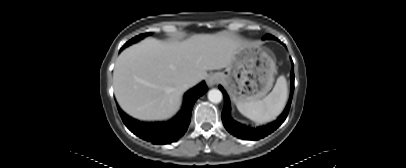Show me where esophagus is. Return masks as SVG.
I'll return each instance as SVG.
<instances>
[{"label":"esophagus","instance_id":"obj_1","mask_svg":"<svg viewBox=\"0 0 406 168\" xmlns=\"http://www.w3.org/2000/svg\"><path fill=\"white\" fill-rule=\"evenodd\" d=\"M218 82H219V77L216 74H211L207 78V85L209 87L215 86L216 84H218Z\"/></svg>","mask_w":406,"mask_h":168}]
</instances>
